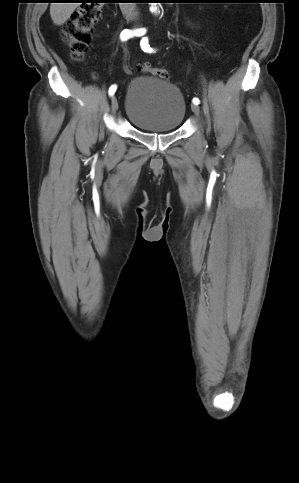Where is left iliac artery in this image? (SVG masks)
<instances>
[{
    "label": "left iliac artery",
    "mask_w": 299,
    "mask_h": 483,
    "mask_svg": "<svg viewBox=\"0 0 299 483\" xmlns=\"http://www.w3.org/2000/svg\"><path fill=\"white\" fill-rule=\"evenodd\" d=\"M140 46H141V49L144 51V52H148V53H152L154 52V50L150 47L149 43H148V38L147 37H144L141 39V42H140ZM199 99L198 98H194L193 99V103L198 105L199 104Z\"/></svg>",
    "instance_id": "1"
}]
</instances>
